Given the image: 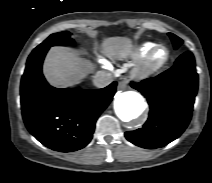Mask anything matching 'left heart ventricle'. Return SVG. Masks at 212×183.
<instances>
[{"instance_id":"left-heart-ventricle-1","label":"left heart ventricle","mask_w":212,"mask_h":183,"mask_svg":"<svg viewBox=\"0 0 212 183\" xmlns=\"http://www.w3.org/2000/svg\"><path fill=\"white\" fill-rule=\"evenodd\" d=\"M166 57V51L164 49H158L153 55V62L154 63H159L163 61Z\"/></svg>"}]
</instances>
